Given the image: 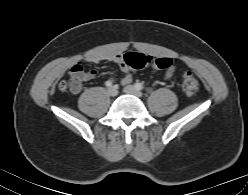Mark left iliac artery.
<instances>
[{"label": "left iliac artery", "mask_w": 248, "mask_h": 195, "mask_svg": "<svg viewBox=\"0 0 248 195\" xmlns=\"http://www.w3.org/2000/svg\"><path fill=\"white\" fill-rule=\"evenodd\" d=\"M135 88H136L137 90H142V89L144 88V86H143L141 83H136V84H135Z\"/></svg>", "instance_id": "left-iliac-artery-1"}]
</instances>
